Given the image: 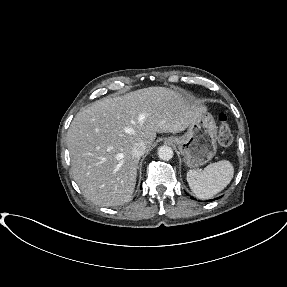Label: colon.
Returning <instances> with one entry per match:
<instances>
[{
    "label": "colon",
    "mask_w": 287,
    "mask_h": 287,
    "mask_svg": "<svg viewBox=\"0 0 287 287\" xmlns=\"http://www.w3.org/2000/svg\"><path fill=\"white\" fill-rule=\"evenodd\" d=\"M233 133L226 117L221 116L219 123L218 141L221 146L229 147L233 143Z\"/></svg>",
    "instance_id": "5ec220e1"
}]
</instances>
